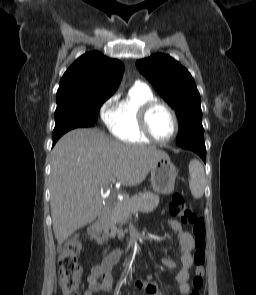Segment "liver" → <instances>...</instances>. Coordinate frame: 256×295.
Masks as SVG:
<instances>
[{
    "instance_id": "liver-1",
    "label": "liver",
    "mask_w": 256,
    "mask_h": 295,
    "mask_svg": "<svg viewBox=\"0 0 256 295\" xmlns=\"http://www.w3.org/2000/svg\"><path fill=\"white\" fill-rule=\"evenodd\" d=\"M164 156L152 146L117 142L99 129L66 133L51 154L50 209L58 244L97 218L103 187L114 180L125 186L141 184Z\"/></svg>"
}]
</instances>
